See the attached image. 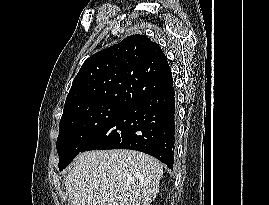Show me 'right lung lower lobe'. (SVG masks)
Here are the masks:
<instances>
[{"label": "right lung lower lobe", "mask_w": 269, "mask_h": 205, "mask_svg": "<svg viewBox=\"0 0 269 205\" xmlns=\"http://www.w3.org/2000/svg\"><path fill=\"white\" fill-rule=\"evenodd\" d=\"M175 136V91L172 86L127 106L80 153L97 149L137 150L173 169Z\"/></svg>", "instance_id": "right-lung-lower-lobe-1"}]
</instances>
